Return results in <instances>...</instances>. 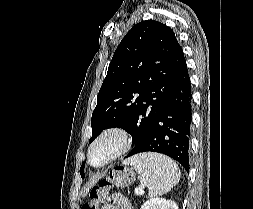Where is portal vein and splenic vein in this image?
Segmentation results:
<instances>
[{"label": "portal vein and splenic vein", "mask_w": 253, "mask_h": 209, "mask_svg": "<svg viewBox=\"0 0 253 209\" xmlns=\"http://www.w3.org/2000/svg\"><path fill=\"white\" fill-rule=\"evenodd\" d=\"M135 193H136L137 195H142V194L144 193V191H143L142 188H136V189H135Z\"/></svg>", "instance_id": "18ae733b"}]
</instances>
